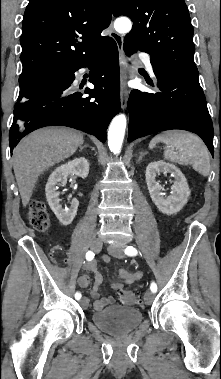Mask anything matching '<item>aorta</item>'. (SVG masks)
Here are the masks:
<instances>
[{
	"instance_id": "1",
	"label": "aorta",
	"mask_w": 221,
	"mask_h": 379,
	"mask_svg": "<svg viewBox=\"0 0 221 379\" xmlns=\"http://www.w3.org/2000/svg\"><path fill=\"white\" fill-rule=\"evenodd\" d=\"M114 28L119 33H127L132 28L131 21L126 17H121L115 20ZM126 116L119 114L115 116L108 129V146L111 152L119 154L122 148L125 129H126Z\"/></svg>"
}]
</instances>
